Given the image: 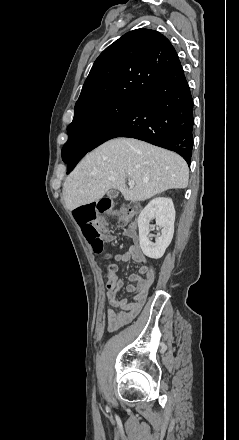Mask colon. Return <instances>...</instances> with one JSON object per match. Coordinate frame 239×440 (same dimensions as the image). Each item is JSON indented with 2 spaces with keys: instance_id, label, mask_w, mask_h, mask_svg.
Segmentation results:
<instances>
[{
  "instance_id": "1",
  "label": "colon",
  "mask_w": 239,
  "mask_h": 440,
  "mask_svg": "<svg viewBox=\"0 0 239 440\" xmlns=\"http://www.w3.org/2000/svg\"><path fill=\"white\" fill-rule=\"evenodd\" d=\"M138 204L113 205L109 200H101L98 203L78 207L74 210V218L82 230V233L96 253H101L107 237L103 234L101 218L113 220L117 224H126L138 211ZM116 270V266L110 263L107 267L108 276Z\"/></svg>"
}]
</instances>
